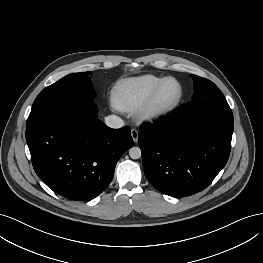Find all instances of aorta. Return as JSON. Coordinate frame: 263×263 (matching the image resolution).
<instances>
[{
    "label": "aorta",
    "instance_id": "762f6f07",
    "mask_svg": "<svg viewBox=\"0 0 263 263\" xmlns=\"http://www.w3.org/2000/svg\"><path fill=\"white\" fill-rule=\"evenodd\" d=\"M129 156L132 159H139L141 157V150L139 147H132L129 150Z\"/></svg>",
    "mask_w": 263,
    "mask_h": 263
}]
</instances>
